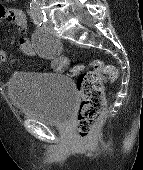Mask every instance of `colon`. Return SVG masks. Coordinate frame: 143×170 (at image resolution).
<instances>
[{
    "instance_id": "obj_1",
    "label": "colon",
    "mask_w": 143,
    "mask_h": 170,
    "mask_svg": "<svg viewBox=\"0 0 143 170\" xmlns=\"http://www.w3.org/2000/svg\"><path fill=\"white\" fill-rule=\"evenodd\" d=\"M63 71L67 66V59L60 57ZM71 76L78 78L77 87L81 96V104L77 115V132L81 140H88L94 127L102 119L105 110L104 83L117 80V71L111 65H106L98 59L90 62L89 68L75 65L70 70Z\"/></svg>"
}]
</instances>
